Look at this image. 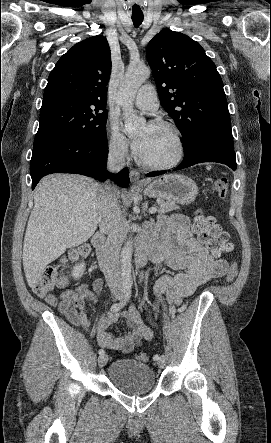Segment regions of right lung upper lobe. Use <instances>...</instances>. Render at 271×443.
<instances>
[{
	"label": "right lung upper lobe",
	"instance_id": "cb5924a9",
	"mask_svg": "<svg viewBox=\"0 0 271 443\" xmlns=\"http://www.w3.org/2000/svg\"><path fill=\"white\" fill-rule=\"evenodd\" d=\"M111 55L101 35L75 44L56 63L44 91L43 103L72 99L106 106Z\"/></svg>",
	"mask_w": 271,
	"mask_h": 443
}]
</instances>
